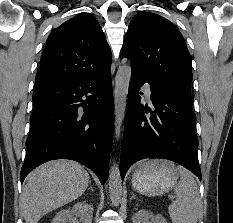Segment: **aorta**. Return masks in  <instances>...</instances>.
<instances>
[{"label":"aorta","instance_id":"obj_1","mask_svg":"<svg viewBox=\"0 0 233 223\" xmlns=\"http://www.w3.org/2000/svg\"><path fill=\"white\" fill-rule=\"evenodd\" d=\"M131 78L130 66H121L116 74L114 104H115V137H120L121 125L123 123L126 100ZM109 193L110 199L114 205L121 201L122 197V179L118 163H113L109 171Z\"/></svg>","mask_w":233,"mask_h":223}]
</instances>
